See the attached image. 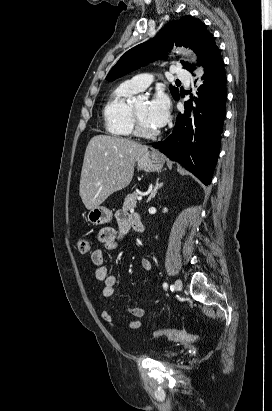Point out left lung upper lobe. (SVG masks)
I'll return each instance as SVG.
<instances>
[{
	"label": "left lung upper lobe",
	"mask_w": 272,
	"mask_h": 411,
	"mask_svg": "<svg viewBox=\"0 0 272 411\" xmlns=\"http://www.w3.org/2000/svg\"><path fill=\"white\" fill-rule=\"evenodd\" d=\"M190 47L198 55L199 65L204 67L205 63L215 51L216 43L212 34L206 29L202 21L191 16H184L179 20L168 23L151 40L139 44L122 55L119 61L111 69L106 80L113 81L135 69L140 68L162 58L172 46ZM183 67L192 72L194 67L181 61ZM170 92L175 100L179 99L178 88L171 87Z\"/></svg>",
	"instance_id": "left-lung-upper-lobe-1"
}]
</instances>
